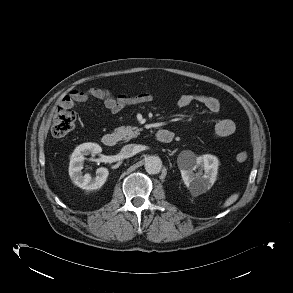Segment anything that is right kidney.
<instances>
[{
    "mask_svg": "<svg viewBox=\"0 0 293 293\" xmlns=\"http://www.w3.org/2000/svg\"><path fill=\"white\" fill-rule=\"evenodd\" d=\"M102 152V148L96 143H83L76 147L70 158L69 175L72 182L85 190H96L101 188L107 180L109 171L105 167H100L96 171V177L91 178L90 174H82L85 156L91 154L95 156Z\"/></svg>",
    "mask_w": 293,
    "mask_h": 293,
    "instance_id": "right-kidney-1",
    "label": "right kidney"
}]
</instances>
